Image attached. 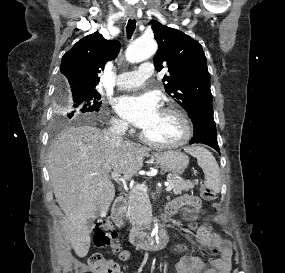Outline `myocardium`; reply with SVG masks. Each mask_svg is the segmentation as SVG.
I'll list each match as a JSON object with an SVG mask.
<instances>
[{
  "label": "myocardium",
  "mask_w": 285,
  "mask_h": 273,
  "mask_svg": "<svg viewBox=\"0 0 285 273\" xmlns=\"http://www.w3.org/2000/svg\"><path fill=\"white\" fill-rule=\"evenodd\" d=\"M161 112L173 114L179 119L183 128L182 135L174 141L158 142L148 138L142 131L140 133V139L144 143L157 148H177L185 145L193 135V124L188 114L177 105H168L163 107Z\"/></svg>",
  "instance_id": "myocardium-1"
}]
</instances>
